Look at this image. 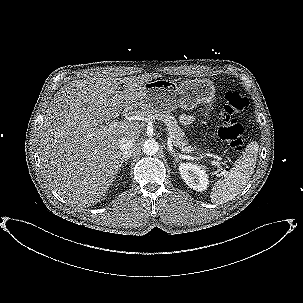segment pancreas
<instances>
[{
    "mask_svg": "<svg viewBox=\"0 0 303 303\" xmlns=\"http://www.w3.org/2000/svg\"><path fill=\"white\" fill-rule=\"evenodd\" d=\"M153 118L165 123L174 146L180 148L183 153H192L194 151V147L189 145L188 141L185 139L184 132L178 126L177 121L173 116L168 114H155Z\"/></svg>",
    "mask_w": 303,
    "mask_h": 303,
    "instance_id": "1",
    "label": "pancreas"
}]
</instances>
